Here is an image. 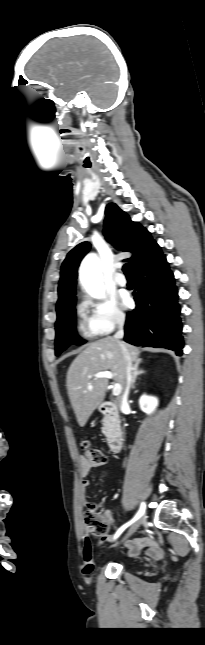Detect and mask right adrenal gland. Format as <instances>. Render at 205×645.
I'll return each mask as SVG.
<instances>
[{
  "mask_svg": "<svg viewBox=\"0 0 205 645\" xmlns=\"http://www.w3.org/2000/svg\"><path fill=\"white\" fill-rule=\"evenodd\" d=\"M141 363H142V361H136V362L134 363V365H133V368H132V371H133V380H132V385H131V388H132V389H134V388H135V382H136L137 377H138V376H140V375H142V374H144V373L146 372L145 370H142V369H140V368H139V366H140V364H141Z\"/></svg>",
  "mask_w": 205,
  "mask_h": 645,
  "instance_id": "right-adrenal-gland-1",
  "label": "right adrenal gland"
}]
</instances>
